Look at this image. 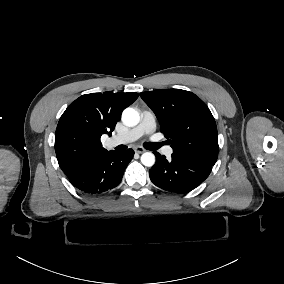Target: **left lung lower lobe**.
Returning <instances> with one entry per match:
<instances>
[{
  "label": "left lung lower lobe",
  "mask_w": 284,
  "mask_h": 284,
  "mask_svg": "<svg viewBox=\"0 0 284 284\" xmlns=\"http://www.w3.org/2000/svg\"><path fill=\"white\" fill-rule=\"evenodd\" d=\"M157 161L149 170L151 181L161 189L187 193L201 184L210 174L212 166L181 155L172 154L166 159L155 152Z\"/></svg>",
  "instance_id": "0a47b994"
}]
</instances>
